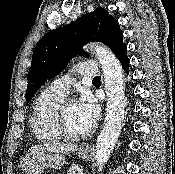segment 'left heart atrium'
Here are the masks:
<instances>
[{
  "instance_id": "obj_1",
  "label": "left heart atrium",
  "mask_w": 175,
  "mask_h": 174,
  "mask_svg": "<svg viewBox=\"0 0 175 174\" xmlns=\"http://www.w3.org/2000/svg\"><path fill=\"white\" fill-rule=\"evenodd\" d=\"M79 111L89 127H92L99 117V107L90 94H84L77 103Z\"/></svg>"
}]
</instances>
